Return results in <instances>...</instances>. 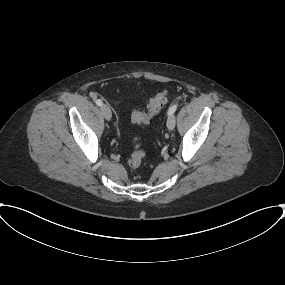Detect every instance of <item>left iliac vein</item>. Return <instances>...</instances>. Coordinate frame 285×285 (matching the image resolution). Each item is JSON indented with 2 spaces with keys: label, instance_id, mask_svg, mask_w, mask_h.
Here are the masks:
<instances>
[{
  "label": "left iliac vein",
  "instance_id": "4c4485c4",
  "mask_svg": "<svg viewBox=\"0 0 285 285\" xmlns=\"http://www.w3.org/2000/svg\"><path fill=\"white\" fill-rule=\"evenodd\" d=\"M176 118L174 114H171L167 118V128L173 130L175 128Z\"/></svg>",
  "mask_w": 285,
  "mask_h": 285
}]
</instances>
